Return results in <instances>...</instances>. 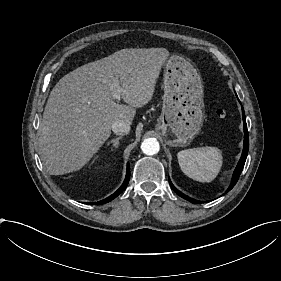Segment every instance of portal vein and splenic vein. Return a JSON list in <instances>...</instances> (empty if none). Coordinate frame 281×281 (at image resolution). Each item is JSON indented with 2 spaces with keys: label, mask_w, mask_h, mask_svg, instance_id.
<instances>
[{
  "label": "portal vein and splenic vein",
  "mask_w": 281,
  "mask_h": 281,
  "mask_svg": "<svg viewBox=\"0 0 281 281\" xmlns=\"http://www.w3.org/2000/svg\"><path fill=\"white\" fill-rule=\"evenodd\" d=\"M112 85H113V92H112L111 101L119 100L122 93V88L119 84L118 78L114 77L112 79Z\"/></svg>",
  "instance_id": "1"
}]
</instances>
